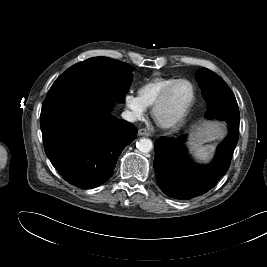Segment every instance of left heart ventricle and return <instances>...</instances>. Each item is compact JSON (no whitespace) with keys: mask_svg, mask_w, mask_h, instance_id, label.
Returning <instances> with one entry per match:
<instances>
[{"mask_svg":"<svg viewBox=\"0 0 267 267\" xmlns=\"http://www.w3.org/2000/svg\"><path fill=\"white\" fill-rule=\"evenodd\" d=\"M192 96V89L187 83L178 84L170 93L167 101L159 110V119L171 121L185 109Z\"/></svg>","mask_w":267,"mask_h":267,"instance_id":"obj_1","label":"left heart ventricle"}]
</instances>
